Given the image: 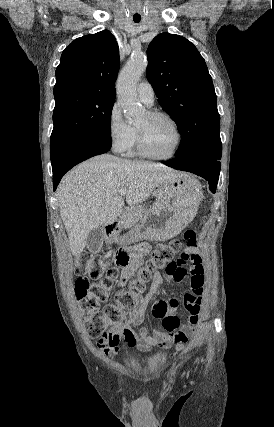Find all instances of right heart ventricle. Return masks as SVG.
<instances>
[{
  "mask_svg": "<svg viewBox=\"0 0 274 427\" xmlns=\"http://www.w3.org/2000/svg\"><path fill=\"white\" fill-rule=\"evenodd\" d=\"M137 149H136V145H135V139L133 141V143L131 144L130 148L127 150V155L128 156H137Z\"/></svg>",
  "mask_w": 274,
  "mask_h": 427,
  "instance_id": "e07e8e85",
  "label": "right heart ventricle"
}]
</instances>
